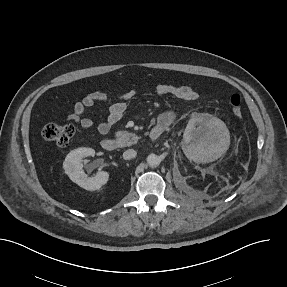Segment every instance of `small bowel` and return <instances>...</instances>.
<instances>
[{"mask_svg": "<svg viewBox=\"0 0 287 287\" xmlns=\"http://www.w3.org/2000/svg\"><path fill=\"white\" fill-rule=\"evenodd\" d=\"M158 95L171 96L176 99L192 102L197 100V91L189 85L159 84L155 87ZM134 96V91H127L116 97L109 96L101 91H94L86 94L73 106L72 112L68 115V120L73 121L84 129L95 126L100 134H107L111 128L122 118L126 103ZM96 104H103L108 107L106 120L97 124L86 116V113ZM176 115L172 110L165 111L158 116L155 127L162 126L165 129L170 127L175 121Z\"/></svg>", "mask_w": 287, "mask_h": 287, "instance_id": "c3829d8e", "label": "small bowel"}]
</instances>
